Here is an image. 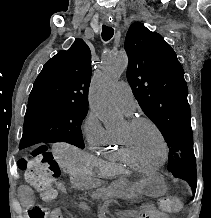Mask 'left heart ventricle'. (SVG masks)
<instances>
[{
	"instance_id": "obj_1",
	"label": "left heart ventricle",
	"mask_w": 211,
	"mask_h": 218,
	"mask_svg": "<svg viewBox=\"0 0 211 218\" xmlns=\"http://www.w3.org/2000/svg\"><path fill=\"white\" fill-rule=\"evenodd\" d=\"M125 129V124L120 130ZM130 148L141 162L157 164L161 161L163 150L156 131L148 124L141 123L129 130Z\"/></svg>"
}]
</instances>
